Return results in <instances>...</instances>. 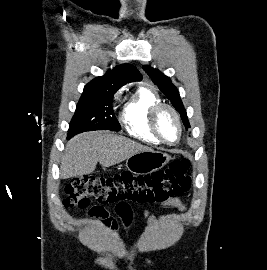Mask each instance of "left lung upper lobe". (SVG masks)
Wrapping results in <instances>:
<instances>
[{"label": "left lung upper lobe", "mask_w": 267, "mask_h": 270, "mask_svg": "<svg viewBox=\"0 0 267 270\" xmlns=\"http://www.w3.org/2000/svg\"><path fill=\"white\" fill-rule=\"evenodd\" d=\"M143 69L151 77L154 83L158 85L159 89L165 94V96L171 101L174 108L180 113L185 128H190L187 113L181 102L179 91L172 84L169 77L150 66H143Z\"/></svg>", "instance_id": "5c2ea615"}]
</instances>
